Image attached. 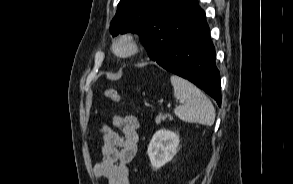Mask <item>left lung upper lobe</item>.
<instances>
[{"mask_svg":"<svg viewBox=\"0 0 293 184\" xmlns=\"http://www.w3.org/2000/svg\"><path fill=\"white\" fill-rule=\"evenodd\" d=\"M183 0H121L110 25L113 35L137 33L151 57L171 24L173 12Z\"/></svg>","mask_w":293,"mask_h":184,"instance_id":"5c2ea615","label":"left lung upper lobe"}]
</instances>
